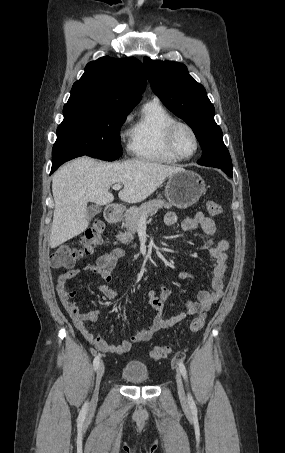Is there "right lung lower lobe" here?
Wrapping results in <instances>:
<instances>
[{"label":"right lung lower lobe","instance_id":"1","mask_svg":"<svg viewBox=\"0 0 285 453\" xmlns=\"http://www.w3.org/2000/svg\"><path fill=\"white\" fill-rule=\"evenodd\" d=\"M79 153L76 149L72 147L62 146L57 143L54 144L52 150V169L53 173L61 164L71 160L75 157H78Z\"/></svg>","mask_w":285,"mask_h":453}]
</instances>
